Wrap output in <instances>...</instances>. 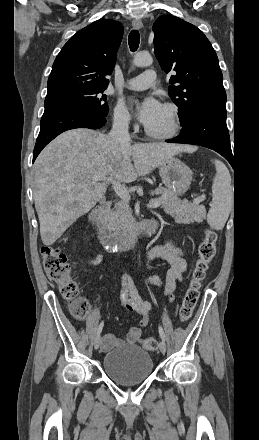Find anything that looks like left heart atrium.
I'll return each mask as SVG.
<instances>
[{"label": "left heart atrium", "mask_w": 259, "mask_h": 440, "mask_svg": "<svg viewBox=\"0 0 259 440\" xmlns=\"http://www.w3.org/2000/svg\"><path fill=\"white\" fill-rule=\"evenodd\" d=\"M138 120L146 127L152 124L160 115L163 105L153 96L133 101Z\"/></svg>", "instance_id": "obj_1"}]
</instances>
